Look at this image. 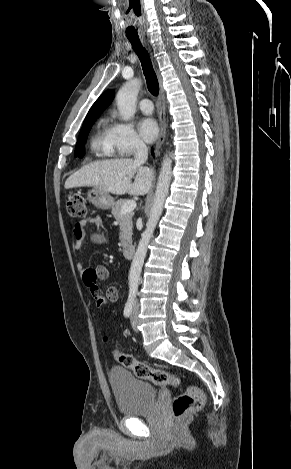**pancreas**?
<instances>
[{
	"label": "pancreas",
	"mask_w": 291,
	"mask_h": 469,
	"mask_svg": "<svg viewBox=\"0 0 291 469\" xmlns=\"http://www.w3.org/2000/svg\"><path fill=\"white\" fill-rule=\"evenodd\" d=\"M127 202V200L120 199L118 200L114 206L112 207V214L115 219L119 221L120 226V241L123 246L131 243V236H132V217L133 212H128L123 214L122 207Z\"/></svg>",
	"instance_id": "cf45deb5"
}]
</instances>
